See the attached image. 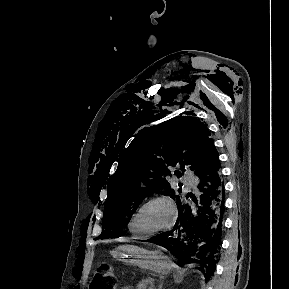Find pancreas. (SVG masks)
<instances>
[{
  "label": "pancreas",
  "instance_id": "obj_1",
  "mask_svg": "<svg viewBox=\"0 0 289 289\" xmlns=\"http://www.w3.org/2000/svg\"><path fill=\"white\" fill-rule=\"evenodd\" d=\"M149 281V279L142 280V282L138 285V289H151L153 286Z\"/></svg>",
  "mask_w": 289,
  "mask_h": 289
}]
</instances>
